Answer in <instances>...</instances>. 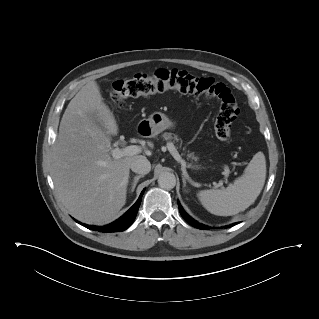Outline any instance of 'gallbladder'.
Instances as JSON below:
<instances>
[{"instance_id":"bac80fb5","label":"gallbladder","mask_w":319,"mask_h":319,"mask_svg":"<svg viewBox=\"0 0 319 319\" xmlns=\"http://www.w3.org/2000/svg\"><path fill=\"white\" fill-rule=\"evenodd\" d=\"M95 123L102 129H104L103 123L99 121L97 118H95Z\"/></svg>"}]
</instances>
